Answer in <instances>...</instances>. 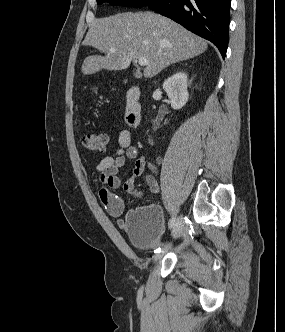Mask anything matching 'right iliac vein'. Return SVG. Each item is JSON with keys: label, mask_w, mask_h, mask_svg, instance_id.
<instances>
[{"label": "right iliac vein", "mask_w": 285, "mask_h": 332, "mask_svg": "<svg viewBox=\"0 0 285 332\" xmlns=\"http://www.w3.org/2000/svg\"><path fill=\"white\" fill-rule=\"evenodd\" d=\"M182 226H183L182 218L179 216L173 226L172 233H171L172 237H177L180 234V232L182 230ZM157 257L158 256L156 255L154 259H156Z\"/></svg>", "instance_id": "right-iliac-vein-1"}]
</instances>
